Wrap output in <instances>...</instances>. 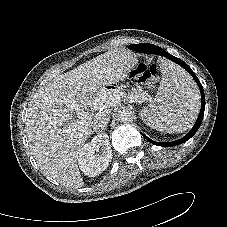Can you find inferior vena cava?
Masks as SVG:
<instances>
[{"label": "inferior vena cava", "instance_id": "1", "mask_svg": "<svg viewBox=\"0 0 227 227\" xmlns=\"http://www.w3.org/2000/svg\"><path fill=\"white\" fill-rule=\"evenodd\" d=\"M110 120V117L108 115H99L96 117L94 124H93V129L96 132H100L102 129L106 127Z\"/></svg>", "mask_w": 227, "mask_h": 227}]
</instances>
